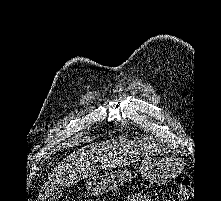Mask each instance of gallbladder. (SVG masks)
Wrapping results in <instances>:
<instances>
[{
	"label": "gallbladder",
	"mask_w": 221,
	"mask_h": 201,
	"mask_svg": "<svg viewBox=\"0 0 221 201\" xmlns=\"http://www.w3.org/2000/svg\"><path fill=\"white\" fill-rule=\"evenodd\" d=\"M61 196H62V191L59 189V190H54L51 193L50 197L53 201H56V199H59Z\"/></svg>",
	"instance_id": "obj_1"
}]
</instances>
